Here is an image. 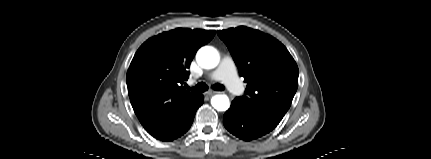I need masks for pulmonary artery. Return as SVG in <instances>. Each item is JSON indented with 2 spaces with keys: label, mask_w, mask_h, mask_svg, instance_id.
<instances>
[{
  "label": "pulmonary artery",
  "mask_w": 431,
  "mask_h": 159,
  "mask_svg": "<svg viewBox=\"0 0 431 159\" xmlns=\"http://www.w3.org/2000/svg\"><path fill=\"white\" fill-rule=\"evenodd\" d=\"M208 78L210 80L221 81L225 84L228 90L235 95H240L244 91V88L237 76L235 63L229 56L222 58L217 69L210 73Z\"/></svg>",
  "instance_id": "e3ab8cb5"
}]
</instances>
